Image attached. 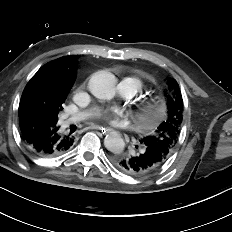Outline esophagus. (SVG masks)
<instances>
[{
	"instance_id": "1",
	"label": "esophagus",
	"mask_w": 232,
	"mask_h": 232,
	"mask_svg": "<svg viewBox=\"0 0 232 232\" xmlns=\"http://www.w3.org/2000/svg\"><path fill=\"white\" fill-rule=\"evenodd\" d=\"M93 129L99 130L100 132H102V134L108 133L110 131V129L102 127V126H93Z\"/></svg>"
}]
</instances>
